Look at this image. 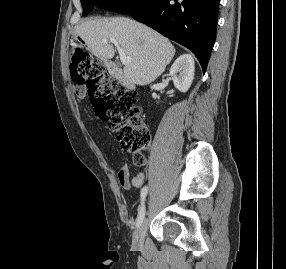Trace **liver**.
I'll return each mask as SVG.
<instances>
[{"instance_id":"1","label":"liver","mask_w":286,"mask_h":269,"mask_svg":"<svg viewBox=\"0 0 286 269\" xmlns=\"http://www.w3.org/2000/svg\"><path fill=\"white\" fill-rule=\"evenodd\" d=\"M87 49L96 57L108 61L115 55L114 47L103 39L114 38L132 62L124 66V75L136 85L155 81L175 54L170 41L153 29L124 17L87 20L75 27Z\"/></svg>"}]
</instances>
